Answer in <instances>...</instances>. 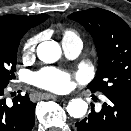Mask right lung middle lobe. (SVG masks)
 Wrapping results in <instances>:
<instances>
[{"label": "right lung middle lobe", "mask_w": 131, "mask_h": 131, "mask_svg": "<svg viewBox=\"0 0 131 131\" xmlns=\"http://www.w3.org/2000/svg\"><path fill=\"white\" fill-rule=\"evenodd\" d=\"M6 36L0 34V87L8 85L16 71L17 49L24 35Z\"/></svg>", "instance_id": "dd1d6c3e"}]
</instances>
